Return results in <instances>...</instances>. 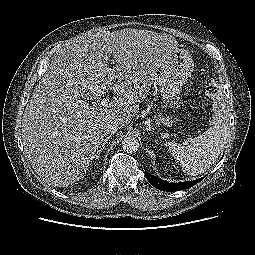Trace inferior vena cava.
Listing matches in <instances>:
<instances>
[{"label":"inferior vena cava","instance_id":"obj_1","mask_svg":"<svg viewBox=\"0 0 255 255\" xmlns=\"http://www.w3.org/2000/svg\"><path fill=\"white\" fill-rule=\"evenodd\" d=\"M119 125L116 121H108L105 126V133L106 134H114L118 131Z\"/></svg>","mask_w":255,"mask_h":255}]
</instances>
